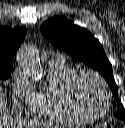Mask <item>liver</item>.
I'll return each instance as SVG.
<instances>
[{
    "label": "liver",
    "instance_id": "liver-1",
    "mask_svg": "<svg viewBox=\"0 0 125 128\" xmlns=\"http://www.w3.org/2000/svg\"><path fill=\"white\" fill-rule=\"evenodd\" d=\"M6 96L3 92V89L0 87V128H8L9 125H12V119L6 110ZM48 128V125L43 126Z\"/></svg>",
    "mask_w": 125,
    "mask_h": 128
}]
</instances>
